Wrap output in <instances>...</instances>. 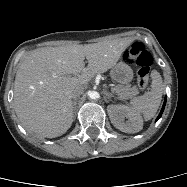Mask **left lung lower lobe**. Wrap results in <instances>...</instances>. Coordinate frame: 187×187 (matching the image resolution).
<instances>
[{
  "instance_id": "obj_1",
  "label": "left lung lower lobe",
  "mask_w": 187,
  "mask_h": 187,
  "mask_svg": "<svg viewBox=\"0 0 187 187\" xmlns=\"http://www.w3.org/2000/svg\"><path fill=\"white\" fill-rule=\"evenodd\" d=\"M165 104H166V98H165V101H164L163 107H162V109H161V112L159 113V115H158V117H157L156 121H158V120H159V118L162 116V113H163L164 108H165Z\"/></svg>"
}]
</instances>
